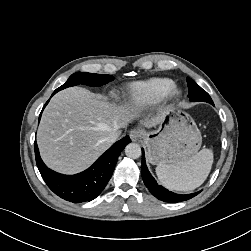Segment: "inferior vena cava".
I'll return each mask as SVG.
<instances>
[{
    "mask_svg": "<svg viewBox=\"0 0 251 251\" xmlns=\"http://www.w3.org/2000/svg\"><path fill=\"white\" fill-rule=\"evenodd\" d=\"M120 136V132L119 131H112L109 136L107 137V141H109L110 143L115 142Z\"/></svg>",
    "mask_w": 251,
    "mask_h": 251,
    "instance_id": "1",
    "label": "inferior vena cava"
}]
</instances>
